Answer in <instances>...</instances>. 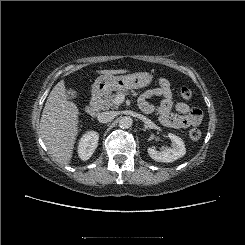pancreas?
<instances>
[{
    "instance_id": "pancreas-1",
    "label": "pancreas",
    "mask_w": 245,
    "mask_h": 245,
    "mask_svg": "<svg viewBox=\"0 0 245 245\" xmlns=\"http://www.w3.org/2000/svg\"><path fill=\"white\" fill-rule=\"evenodd\" d=\"M129 92L127 91H122V90H118L116 92V94H112V93H107L106 95H104V97L100 100V106L103 110H109V109H115L118 108L119 104H117L115 102V99L118 95H128ZM133 95H137L136 92H133Z\"/></svg>"
}]
</instances>
